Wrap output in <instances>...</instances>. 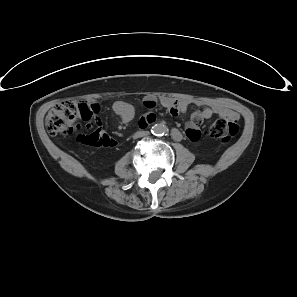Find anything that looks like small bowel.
<instances>
[{"label":"small bowel","mask_w":297,"mask_h":297,"mask_svg":"<svg viewBox=\"0 0 297 297\" xmlns=\"http://www.w3.org/2000/svg\"><path fill=\"white\" fill-rule=\"evenodd\" d=\"M197 105L201 107L200 110L192 113L190 121L187 123L186 135L192 141H197L200 138L199 124L203 120L210 119L214 114H219L224 117H235L234 112L220 106H209L203 102L196 101ZM144 105L148 109L155 107L156 102L153 99L147 98L144 101ZM161 105L169 110L172 115H178L184 113L187 110L189 102L183 99L163 98L161 99ZM114 112L121 118L124 123L130 122L135 116L134 107L124 101H117L113 105ZM155 115L149 113L142 117L141 125L147 126L154 122Z\"/></svg>","instance_id":"1"}]
</instances>
